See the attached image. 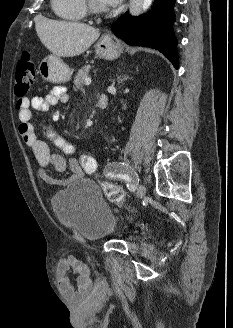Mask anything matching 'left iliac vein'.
I'll use <instances>...</instances> for the list:
<instances>
[{
	"mask_svg": "<svg viewBox=\"0 0 233 328\" xmlns=\"http://www.w3.org/2000/svg\"><path fill=\"white\" fill-rule=\"evenodd\" d=\"M129 175L132 179V181L136 184V188H137V191H136V194H137V197L139 198H143L146 194V188L143 184L139 183V178L137 176V174L133 171H129Z\"/></svg>",
	"mask_w": 233,
	"mask_h": 328,
	"instance_id": "1",
	"label": "left iliac vein"
}]
</instances>
